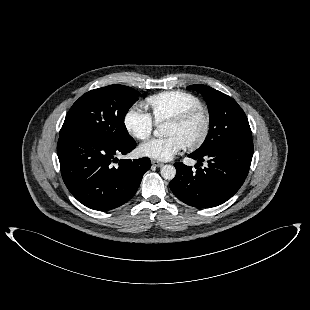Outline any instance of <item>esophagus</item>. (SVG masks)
I'll return each instance as SVG.
<instances>
[{
  "label": "esophagus",
  "mask_w": 310,
  "mask_h": 310,
  "mask_svg": "<svg viewBox=\"0 0 310 310\" xmlns=\"http://www.w3.org/2000/svg\"><path fill=\"white\" fill-rule=\"evenodd\" d=\"M152 165L155 166V167H162L163 166V163L162 162H159L157 160H152L151 161Z\"/></svg>",
  "instance_id": "1"
}]
</instances>
